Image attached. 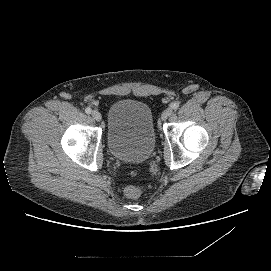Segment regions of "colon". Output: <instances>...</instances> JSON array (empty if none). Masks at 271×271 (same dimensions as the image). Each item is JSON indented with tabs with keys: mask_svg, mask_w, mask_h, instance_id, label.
<instances>
[{
	"mask_svg": "<svg viewBox=\"0 0 271 271\" xmlns=\"http://www.w3.org/2000/svg\"><path fill=\"white\" fill-rule=\"evenodd\" d=\"M143 189L141 185H129L125 188L124 194L129 199H137L142 194Z\"/></svg>",
	"mask_w": 271,
	"mask_h": 271,
	"instance_id": "5ec220e1",
	"label": "colon"
}]
</instances>
